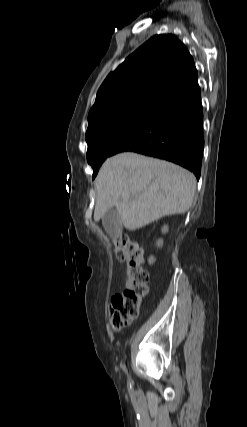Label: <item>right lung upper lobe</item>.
<instances>
[{
    "mask_svg": "<svg viewBox=\"0 0 247 427\" xmlns=\"http://www.w3.org/2000/svg\"><path fill=\"white\" fill-rule=\"evenodd\" d=\"M197 80L193 58L184 44L171 34L155 35L107 76L89 112V124L127 107H158Z\"/></svg>",
    "mask_w": 247,
    "mask_h": 427,
    "instance_id": "obj_1",
    "label": "right lung upper lobe"
}]
</instances>
